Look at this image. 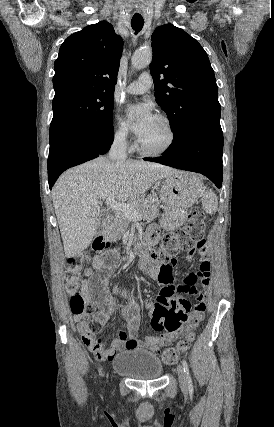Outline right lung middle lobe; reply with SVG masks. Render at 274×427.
I'll use <instances>...</instances> for the list:
<instances>
[{
  "instance_id": "dd1d6c3e",
  "label": "right lung middle lobe",
  "mask_w": 274,
  "mask_h": 427,
  "mask_svg": "<svg viewBox=\"0 0 274 427\" xmlns=\"http://www.w3.org/2000/svg\"><path fill=\"white\" fill-rule=\"evenodd\" d=\"M113 106V95L103 93L68 94L53 102L50 144L71 131L112 127Z\"/></svg>"
}]
</instances>
